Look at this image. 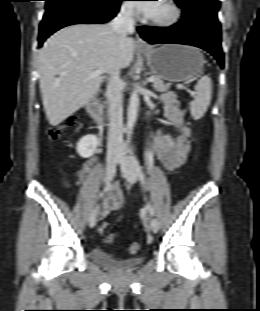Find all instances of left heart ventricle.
Wrapping results in <instances>:
<instances>
[{
    "label": "left heart ventricle",
    "mask_w": 260,
    "mask_h": 311,
    "mask_svg": "<svg viewBox=\"0 0 260 311\" xmlns=\"http://www.w3.org/2000/svg\"><path fill=\"white\" fill-rule=\"evenodd\" d=\"M170 14H171V11L169 7L167 6V4L165 3V1L159 0L155 8V11L149 17L154 18V19H164V18L169 17Z\"/></svg>",
    "instance_id": "1"
}]
</instances>
